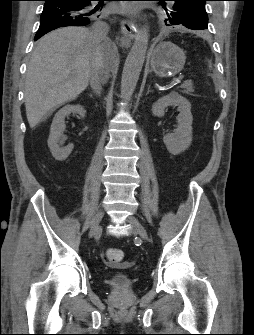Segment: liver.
<instances>
[{"label": "liver", "mask_w": 254, "mask_h": 335, "mask_svg": "<svg viewBox=\"0 0 254 335\" xmlns=\"http://www.w3.org/2000/svg\"><path fill=\"white\" fill-rule=\"evenodd\" d=\"M97 57L111 70L117 63V47L109 39L94 42L84 27L60 28L39 40L27 67L24 90L31 128L87 88Z\"/></svg>", "instance_id": "obj_1"}]
</instances>
